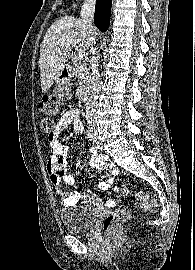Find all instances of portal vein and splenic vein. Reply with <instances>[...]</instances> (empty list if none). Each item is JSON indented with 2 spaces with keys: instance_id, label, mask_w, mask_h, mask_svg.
<instances>
[{
  "instance_id": "obj_1",
  "label": "portal vein and splenic vein",
  "mask_w": 195,
  "mask_h": 270,
  "mask_svg": "<svg viewBox=\"0 0 195 270\" xmlns=\"http://www.w3.org/2000/svg\"><path fill=\"white\" fill-rule=\"evenodd\" d=\"M74 57L82 60L85 57V52L83 50H75Z\"/></svg>"
}]
</instances>
